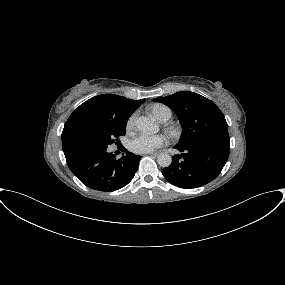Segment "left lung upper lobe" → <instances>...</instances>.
I'll list each match as a JSON object with an SVG mask.
<instances>
[{"label": "left lung upper lobe", "mask_w": 285, "mask_h": 285, "mask_svg": "<svg viewBox=\"0 0 285 285\" xmlns=\"http://www.w3.org/2000/svg\"><path fill=\"white\" fill-rule=\"evenodd\" d=\"M154 101L169 106L178 116L183 132L177 146L204 140L230 143L225 117L211 100L194 92L181 91Z\"/></svg>", "instance_id": "left-lung-upper-lobe-1"}]
</instances>
